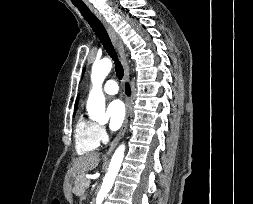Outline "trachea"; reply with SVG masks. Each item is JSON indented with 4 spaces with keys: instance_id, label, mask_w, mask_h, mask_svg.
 Here are the masks:
<instances>
[{
    "instance_id": "obj_1",
    "label": "trachea",
    "mask_w": 253,
    "mask_h": 204,
    "mask_svg": "<svg viewBox=\"0 0 253 204\" xmlns=\"http://www.w3.org/2000/svg\"><path fill=\"white\" fill-rule=\"evenodd\" d=\"M75 6L78 8L81 15L87 20V22L89 23V25L91 26V28L93 29L97 37L99 38L100 42L102 43L104 49L107 51L110 57H112V59L114 60L116 75L119 79H122L124 75L123 67L120 61L118 60L115 49L111 43V40L104 26L85 4L75 5Z\"/></svg>"
}]
</instances>
